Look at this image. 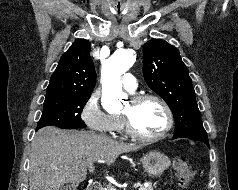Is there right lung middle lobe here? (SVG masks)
Returning <instances> with one entry per match:
<instances>
[{"label": "right lung middle lobe", "mask_w": 238, "mask_h": 190, "mask_svg": "<svg viewBox=\"0 0 238 190\" xmlns=\"http://www.w3.org/2000/svg\"><path fill=\"white\" fill-rule=\"evenodd\" d=\"M89 98V95L45 98L42 116L36 130L49 125L63 129L86 127L80 114Z\"/></svg>", "instance_id": "right-lung-middle-lobe-1"}]
</instances>
